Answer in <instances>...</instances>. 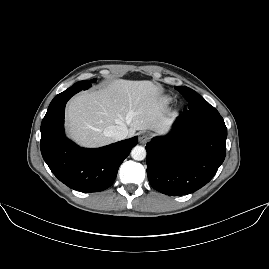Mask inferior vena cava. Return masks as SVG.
Segmentation results:
<instances>
[{"label":"inferior vena cava","mask_w":269,"mask_h":269,"mask_svg":"<svg viewBox=\"0 0 269 269\" xmlns=\"http://www.w3.org/2000/svg\"><path fill=\"white\" fill-rule=\"evenodd\" d=\"M105 134L111 138H113L115 141L123 140L128 135V129L126 126H110L106 128Z\"/></svg>","instance_id":"602c4592"}]
</instances>
